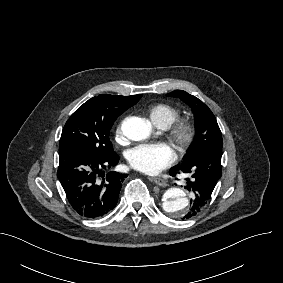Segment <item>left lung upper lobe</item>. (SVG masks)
Instances as JSON below:
<instances>
[{"label": "left lung upper lobe", "mask_w": 283, "mask_h": 283, "mask_svg": "<svg viewBox=\"0 0 283 283\" xmlns=\"http://www.w3.org/2000/svg\"><path fill=\"white\" fill-rule=\"evenodd\" d=\"M168 95L179 97L192 108L194 113L195 138L183 163L191 162L204 152L222 150L223 141L221 131L209 107L197 97L182 90L173 91Z\"/></svg>", "instance_id": "1"}]
</instances>
